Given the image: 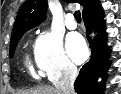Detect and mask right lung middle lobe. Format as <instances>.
I'll return each instance as SVG.
<instances>
[{
    "mask_svg": "<svg viewBox=\"0 0 121 94\" xmlns=\"http://www.w3.org/2000/svg\"><path fill=\"white\" fill-rule=\"evenodd\" d=\"M26 31L24 32H21L19 34H17L16 36L12 37L11 38V41H10V57L12 58L13 55H14V51H15V48H16V45L19 41V39L22 37V35L25 33Z\"/></svg>",
    "mask_w": 121,
    "mask_h": 94,
    "instance_id": "1",
    "label": "right lung middle lobe"
}]
</instances>
